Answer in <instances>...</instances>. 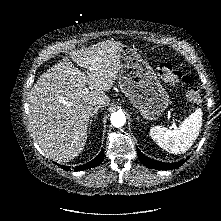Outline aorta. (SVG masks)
<instances>
[{"label":"aorta","mask_w":221,"mask_h":221,"mask_svg":"<svg viewBox=\"0 0 221 221\" xmlns=\"http://www.w3.org/2000/svg\"><path fill=\"white\" fill-rule=\"evenodd\" d=\"M111 123L114 127H122L126 123V117L123 112L117 111L111 115Z\"/></svg>","instance_id":"obj_1"}]
</instances>
